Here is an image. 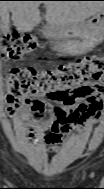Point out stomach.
Masks as SVG:
<instances>
[{"label":"stomach","mask_w":104,"mask_h":189,"mask_svg":"<svg viewBox=\"0 0 104 189\" xmlns=\"http://www.w3.org/2000/svg\"><path fill=\"white\" fill-rule=\"evenodd\" d=\"M102 12L100 10L91 19L83 20L72 28L49 26L43 31L44 36L56 40L57 49L64 53H79L81 45L99 34L98 29H103Z\"/></svg>","instance_id":"stomach-1"}]
</instances>
